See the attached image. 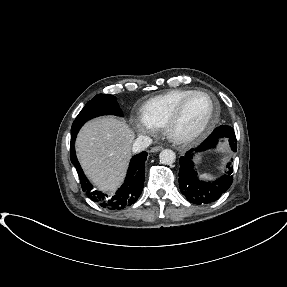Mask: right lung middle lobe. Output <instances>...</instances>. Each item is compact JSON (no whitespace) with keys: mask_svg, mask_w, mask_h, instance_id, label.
<instances>
[{"mask_svg":"<svg viewBox=\"0 0 287 287\" xmlns=\"http://www.w3.org/2000/svg\"><path fill=\"white\" fill-rule=\"evenodd\" d=\"M100 115L123 116V112L113 95L98 94L91 101L87 102L72 124L71 137L77 135L79 129L86 121Z\"/></svg>","mask_w":287,"mask_h":287,"instance_id":"obj_1","label":"right lung middle lobe"}]
</instances>
